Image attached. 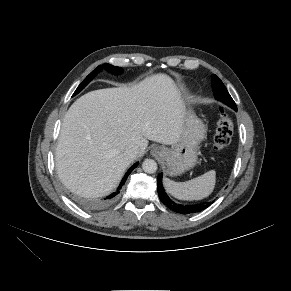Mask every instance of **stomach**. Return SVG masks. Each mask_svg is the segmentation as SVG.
Returning <instances> with one entry per match:
<instances>
[{"instance_id":"stomach-1","label":"stomach","mask_w":291,"mask_h":291,"mask_svg":"<svg viewBox=\"0 0 291 291\" xmlns=\"http://www.w3.org/2000/svg\"><path fill=\"white\" fill-rule=\"evenodd\" d=\"M206 132L202 120L192 110L186 111L179 141L171 148L160 147L159 158L165 163L170 176L180 175L196 165L199 144L206 137Z\"/></svg>"}]
</instances>
